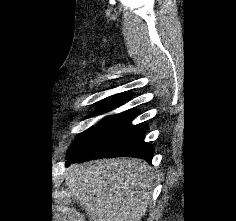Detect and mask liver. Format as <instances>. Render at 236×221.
Wrapping results in <instances>:
<instances>
[{
  "instance_id": "6515ba94",
  "label": "liver",
  "mask_w": 236,
  "mask_h": 221,
  "mask_svg": "<svg viewBox=\"0 0 236 221\" xmlns=\"http://www.w3.org/2000/svg\"><path fill=\"white\" fill-rule=\"evenodd\" d=\"M65 184L89 221H141L154 186L149 165L133 158L71 165Z\"/></svg>"
}]
</instances>
